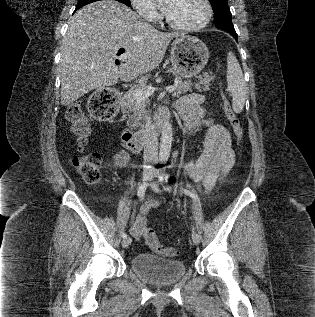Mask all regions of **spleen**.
I'll return each mask as SVG.
<instances>
[{
	"mask_svg": "<svg viewBox=\"0 0 315 317\" xmlns=\"http://www.w3.org/2000/svg\"><path fill=\"white\" fill-rule=\"evenodd\" d=\"M227 83L233 110L235 113H241L247 99L248 87L238 60L231 51L227 55Z\"/></svg>",
	"mask_w": 315,
	"mask_h": 317,
	"instance_id": "spleen-1",
	"label": "spleen"
}]
</instances>
